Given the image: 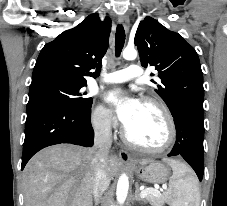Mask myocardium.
I'll return each mask as SVG.
<instances>
[{
  "instance_id": "f54148a6",
  "label": "myocardium",
  "mask_w": 227,
  "mask_h": 206,
  "mask_svg": "<svg viewBox=\"0 0 227 206\" xmlns=\"http://www.w3.org/2000/svg\"><path fill=\"white\" fill-rule=\"evenodd\" d=\"M141 102L143 104L153 105L160 110L166 122L167 127L166 139L159 146H144L134 141L132 137L129 135V133L125 130L123 134L126 142L136 149L149 153H160L169 149L174 144L176 139V124L170 109L162 100L155 97L149 96L143 97L141 99Z\"/></svg>"
}]
</instances>
